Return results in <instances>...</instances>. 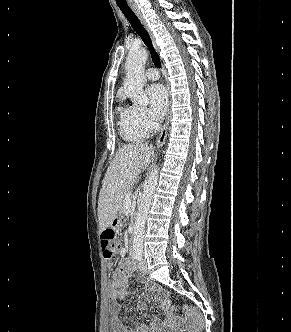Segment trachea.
I'll list each match as a JSON object with an SVG mask.
<instances>
[{"label":"trachea","mask_w":291,"mask_h":332,"mask_svg":"<svg viewBox=\"0 0 291 332\" xmlns=\"http://www.w3.org/2000/svg\"><path fill=\"white\" fill-rule=\"evenodd\" d=\"M118 7L125 15L129 23L131 24L132 28L139 34L145 45L150 49L151 58L153 63L157 68H161V62L158 54L156 53L155 49L152 46V41L150 39L149 34L141 24L138 17L134 14V12L130 9L127 2L117 3Z\"/></svg>","instance_id":"3493384b"}]
</instances>
